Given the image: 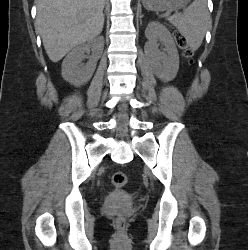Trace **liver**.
<instances>
[{"label": "liver", "mask_w": 248, "mask_h": 250, "mask_svg": "<svg viewBox=\"0 0 248 250\" xmlns=\"http://www.w3.org/2000/svg\"><path fill=\"white\" fill-rule=\"evenodd\" d=\"M104 5L105 0H36V24L52 62L101 33Z\"/></svg>", "instance_id": "obj_1"}]
</instances>
